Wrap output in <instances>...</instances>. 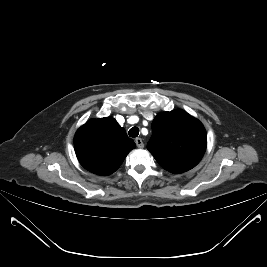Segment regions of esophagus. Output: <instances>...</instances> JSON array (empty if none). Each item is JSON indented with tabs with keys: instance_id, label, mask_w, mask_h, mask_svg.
Here are the masks:
<instances>
[{
	"instance_id": "34e87169",
	"label": "esophagus",
	"mask_w": 267,
	"mask_h": 267,
	"mask_svg": "<svg viewBox=\"0 0 267 267\" xmlns=\"http://www.w3.org/2000/svg\"><path fill=\"white\" fill-rule=\"evenodd\" d=\"M135 143H136L137 147L140 149H142L144 147V143H143L141 138H136Z\"/></svg>"
}]
</instances>
